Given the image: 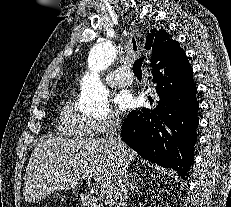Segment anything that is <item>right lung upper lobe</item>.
<instances>
[{"instance_id": "right-lung-upper-lobe-1", "label": "right lung upper lobe", "mask_w": 231, "mask_h": 207, "mask_svg": "<svg viewBox=\"0 0 231 207\" xmlns=\"http://www.w3.org/2000/svg\"><path fill=\"white\" fill-rule=\"evenodd\" d=\"M147 45H150L152 49L151 63L157 64L160 61H165L166 66L172 62L187 60L179 43L172 40V37L163 30L157 31L154 29L151 36L146 39V46Z\"/></svg>"}]
</instances>
